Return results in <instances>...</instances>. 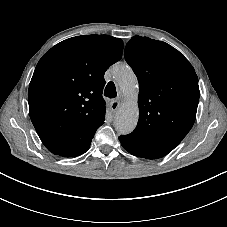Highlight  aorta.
Wrapping results in <instances>:
<instances>
[{
  "mask_svg": "<svg viewBox=\"0 0 227 227\" xmlns=\"http://www.w3.org/2000/svg\"><path fill=\"white\" fill-rule=\"evenodd\" d=\"M112 74L120 90L127 97V101L116 113L114 122L115 129L125 135L131 133L138 123L137 78L127 64H115Z\"/></svg>",
  "mask_w": 227,
  "mask_h": 227,
  "instance_id": "762f6f07",
  "label": "aorta"
}]
</instances>
